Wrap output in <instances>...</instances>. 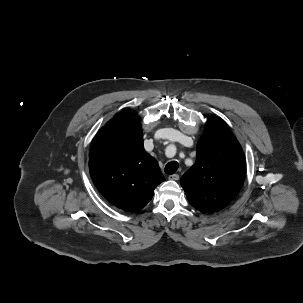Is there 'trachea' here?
<instances>
[{
    "instance_id": "obj_1",
    "label": "trachea",
    "mask_w": 303,
    "mask_h": 303,
    "mask_svg": "<svg viewBox=\"0 0 303 303\" xmlns=\"http://www.w3.org/2000/svg\"><path fill=\"white\" fill-rule=\"evenodd\" d=\"M178 166L179 165L177 161H171L167 163V165L165 166V173L168 175L174 174L177 171Z\"/></svg>"
}]
</instances>
